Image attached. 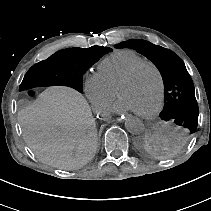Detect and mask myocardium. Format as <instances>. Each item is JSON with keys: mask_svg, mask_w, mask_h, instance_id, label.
Listing matches in <instances>:
<instances>
[{"mask_svg": "<svg viewBox=\"0 0 211 211\" xmlns=\"http://www.w3.org/2000/svg\"><path fill=\"white\" fill-rule=\"evenodd\" d=\"M145 66H149L151 68H153V70L155 71L157 77H158V81H159V96H158V100L157 103L155 104L154 108L148 112H144V113H139V112H134L137 116L142 117V118H151L153 116H155L159 110L161 109L162 105H163V101H164V95H165V81H164V76L162 74V71L160 70V68L152 61H143L140 62L139 64L135 65L133 68H131L116 84L115 87V93L118 97H120L119 95V88L128 83L136 74L137 72L145 67Z\"/></svg>", "mask_w": 211, "mask_h": 211, "instance_id": "myocardium-1", "label": "myocardium"}]
</instances>
